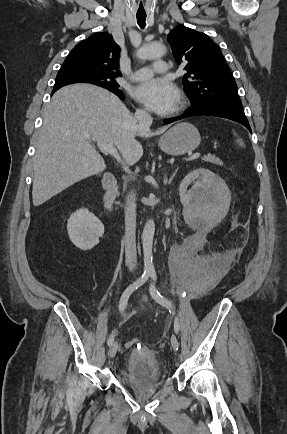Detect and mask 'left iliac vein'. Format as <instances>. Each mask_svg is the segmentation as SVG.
<instances>
[{"label": "left iliac vein", "instance_id": "obj_1", "mask_svg": "<svg viewBox=\"0 0 287 434\" xmlns=\"http://www.w3.org/2000/svg\"><path fill=\"white\" fill-rule=\"evenodd\" d=\"M171 346H172L173 350H175V351L179 347V342H178V339H177L176 335H172L171 336Z\"/></svg>", "mask_w": 287, "mask_h": 434}]
</instances>
